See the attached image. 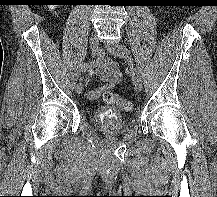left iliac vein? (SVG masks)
<instances>
[{
    "instance_id": "left-iliac-vein-1",
    "label": "left iliac vein",
    "mask_w": 217,
    "mask_h": 197,
    "mask_svg": "<svg viewBox=\"0 0 217 197\" xmlns=\"http://www.w3.org/2000/svg\"><path fill=\"white\" fill-rule=\"evenodd\" d=\"M107 50L116 57L127 59V54L124 52L122 47L117 43L107 45ZM127 71L128 74L131 76L135 89L137 91H141L142 79L139 71L132 64H129Z\"/></svg>"
}]
</instances>
